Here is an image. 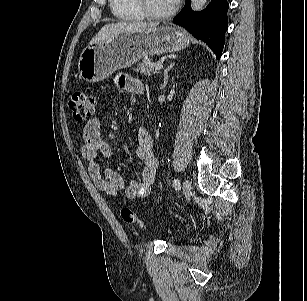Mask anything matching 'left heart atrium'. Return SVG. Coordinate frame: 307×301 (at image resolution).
Here are the masks:
<instances>
[{
	"mask_svg": "<svg viewBox=\"0 0 307 301\" xmlns=\"http://www.w3.org/2000/svg\"><path fill=\"white\" fill-rule=\"evenodd\" d=\"M173 1H174V3H175V2H177L178 0H173Z\"/></svg>",
	"mask_w": 307,
	"mask_h": 301,
	"instance_id": "1",
	"label": "left heart atrium"
}]
</instances>
